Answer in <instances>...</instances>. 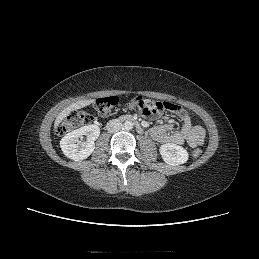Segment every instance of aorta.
I'll return each instance as SVG.
<instances>
[{
  "instance_id": "aorta-1",
  "label": "aorta",
  "mask_w": 259,
  "mask_h": 259,
  "mask_svg": "<svg viewBox=\"0 0 259 259\" xmlns=\"http://www.w3.org/2000/svg\"><path fill=\"white\" fill-rule=\"evenodd\" d=\"M124 128L126 130H131L133 128V123L131 121H125Z\"/></svg>"
}]
</instances>
